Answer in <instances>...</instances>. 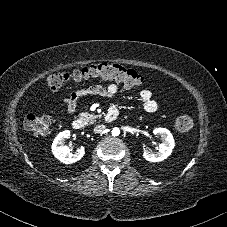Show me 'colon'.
Here are the masks:
<instances>
[{"label": "colon", "mask_w": 227, "mask_h": 227, "mask_svg": "<svg viewBox=\"0 0 227 227\" xmlns=\"http://www.w3.org/2000/svg\"><path fill=\"white\" fill-rule=\"evenodd\" d=\"M95 78H108L121 82L126 87H138L148 83V78L132 69L125 68L117 63H99L80 69L65 72H55L48 75L45 84L50 90H58L70 83ZM53 118L49 115L28 114L24 119L25 127L33 134L47 132ZM193 126V119L187 113L179 114L174 120L173 127L177 132L184 133Z\"/></svg>", "instance_id": "colon-1"}]
</instances>
